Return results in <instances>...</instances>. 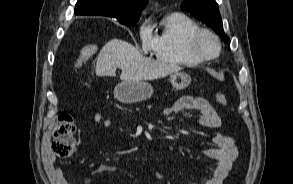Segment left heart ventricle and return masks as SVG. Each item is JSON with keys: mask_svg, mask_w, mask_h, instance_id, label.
I'll list each match as a JSON object with an SVG mask.
<instances>
[{"mask_svg": "<svg viewBox=\"0 0 293 184\" xmlns=\"http://www.w3.org/2000/svg\"><path fill=\"white\" fill-rule=\"evenodd\" d=\"M199 47L205 54H215L217 51L216 42L209 36H202L199 41Z\"/></svg>", "mask_w": 293, "mask_h": 184, "instance_id": "obj_1", "label": "left heart ventricle"}]
</instances>
